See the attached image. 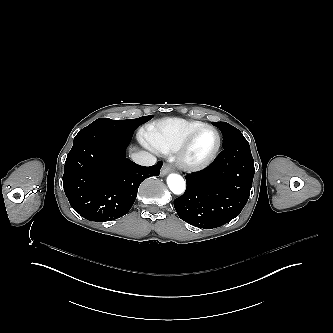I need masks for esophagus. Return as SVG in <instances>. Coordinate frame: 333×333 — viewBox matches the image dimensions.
<instances>
[{
	"label": "esophagus",
	"mask_w": 333,
	"mask_h": 333,
	"mask_svg": "<svg viewBox=\"0 0 333 333\" xmlns=\"http://www.w3.org/2000/svg\"><path fill=\"white\" fill-rule=\"evenodd\" d=\"M171 171H172L171 165L166 163L163 165L160 175L165 176L166 174H168Z\"/></svg>",
	"instance_id": "34e87169"
}]
</instances>
